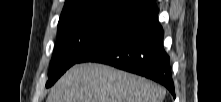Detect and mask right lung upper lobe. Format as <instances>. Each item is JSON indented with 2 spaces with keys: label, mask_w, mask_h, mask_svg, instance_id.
Returning a JSON list of instances; mask_svg holds the SVG:
<instances>
[{
  "label": "right lung upper lobe",
  "mask_w": 221,
  "mask_h": 102,
  "mask_svg": "<svg viewBox=\"0 0 221 102\" xmlns=\"http://www.w3.org/2000/svg\"><path fill=\"white\" fill-rule=\"evenodd\" d=\"M94 0H66L62 13L82 6L83 4ZM124 5L144 11L155 4V0H118Z\"/></svg>",
  "instance_id": "right-lung-upper-lobe-1"
}]
</instances>
